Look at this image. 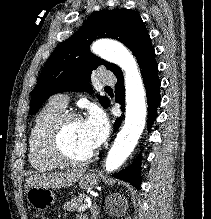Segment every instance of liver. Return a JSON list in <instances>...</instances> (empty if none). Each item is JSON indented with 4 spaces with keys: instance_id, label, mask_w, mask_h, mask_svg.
Listing matches in <instances>:
<instances>
[{
    "instance_id": "obj_1",
    "label": "liver",
    "mask_w": 211,
    "mask_h": 219,
    "mask_svg": "<svg viewBox=\"0 0 211 219\" xmlns=\"http://www.w3.org/2000/svg\"><path fill=\"white\" fill-rule=\"evenodd\" d=\"M83 174V169L59 173L34 174L26 179V187H42L46 189L69 187L77 182Z\"/></svg>"
}]
</instances>
